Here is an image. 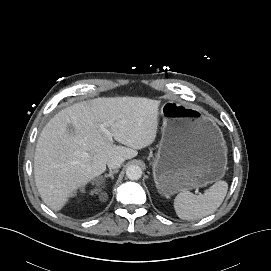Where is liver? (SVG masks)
I'll use <instances>...</instances> for the list:
<instances>
[{
	"label": "liver",
	"mask_w": 271,
	"mask_h": 271,
	"mask_svg": "<svg viewBox=\"0 0 271 271\" xmlns=\"http://www.w3.org/2000/svg\"><path fill=\"white\" fill-rule=\"evenodd\" d=\"M159 106L147 98H98L56 114L43 128L35 150V183L43 202L61 210L73 192L106 171L109 159H131L137 150L151 145L157 135ZM102 124L127 147L110 142L100 129Z\"/></svg>",
	"instance_id": "1"
}]
</instances>
